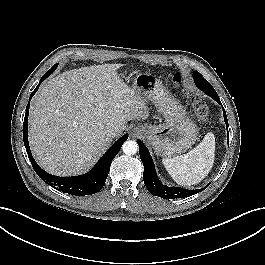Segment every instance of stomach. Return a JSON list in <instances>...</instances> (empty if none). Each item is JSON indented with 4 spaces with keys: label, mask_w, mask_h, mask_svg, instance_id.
<instances>
[{
    "label": "stomach",
    "mask_w": 265,
    "mask_h": 265,
    "mask_svg": "<svg viewBox=\"0 0 265 265\" xmlns=\"http://www.w3.org/2000/svg\"><path fill=\"white\" fill-rule=\"evenodd\" d=\"M133 89L145 102L154 103L164 118L162 124L142 126L144 137L157 155L171 157L181 154L196 142V124L159 78L150 73H139L134 78Z\"/></svg>",
    "instance_id": "stomach-1"
}]
</instances>
